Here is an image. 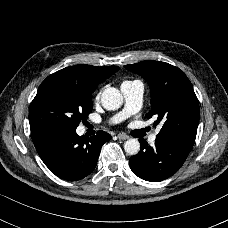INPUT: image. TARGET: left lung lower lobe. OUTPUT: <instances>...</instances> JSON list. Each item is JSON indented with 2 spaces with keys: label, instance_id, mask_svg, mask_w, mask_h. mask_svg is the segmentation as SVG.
Instances as JSON below:
<instances>
[{
  "label": "left lung lower lobe",
  "instance_id": "1",
  "mask_svg": "<svg viewBox=\"0 0 228 228\" xmlns=\"http://www.w3.org/2000/svg\"><path fill=\"white\" fill-rule=\"evenodd\" d=\"M141 149L129 159L135 175L151 182H159L176 173L186 160L193 145L174 139L156 137L155 145L149 146L139 139Z\"/></svg>",
  "mask_w": 228,
  "mask_h": 228
}]
</instances>
